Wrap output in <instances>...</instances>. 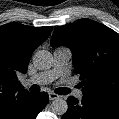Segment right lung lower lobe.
<instances>
[{
	"label": "right lung lower lobe",
	"mask_w": 119,
	"mask_h": 119,
	"mask_svg": "<svg viewBox=\"0 0 119 119\" xmlns=\"http://www.w3.org/2000/svg\"><path fill=\"white\" fill-rule=\"evenodd\" d=\"M48 101L49 96L47 93L41 92L39 94H34L15 119H36V116L44 109Z\"/></svg>",
	"instance_id": "1"
}]
</instances>
